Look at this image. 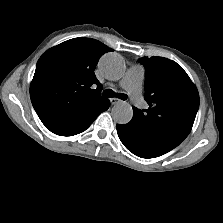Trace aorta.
Returning <instances> with one entry per match:
<instances>
[{
  "label": "aorta",
  "mask_w": 223,
  "mask_h": 223,
  "mask_svg": "<svg viewBox=\"0 0 223 223\" xmlns=\"http://www.w3.org/2000/svg\"><path fill=\"white\" fill-rule=\"evenodd\" d=\"M99 67L109 80H118L125 71L124 60L115 53L105 54L99 62ZM111 116L117 124H127L133 117V110L129 103L120 101L112 107Z\"/></svg>",
  "instance_id": "aorta-1"
}]
</instances>
